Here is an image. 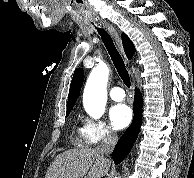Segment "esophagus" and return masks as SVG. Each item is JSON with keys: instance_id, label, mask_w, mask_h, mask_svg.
<instances>
[{"instance_id": "esophagus-1", "label": "esophagus", "mask_w": 194, "mask_h": 178, "mask_svg": "<svg viewBox=\"0 0 194 178\" xmlns=\"http://www.w3.org/2000/svg\"><path fill=\"white\" fill-rule=\"evenodd\" d=\"M103 26L108 29V31L110 32V34L114 37V39L116 40V43L120 49V51L122 52V54L124 55L123 52V47H122V42H121V38L119 33L117 32V30L114 28V26H112L111 24L107 23V22H103L102 23Z\"/></svg>"}]
</instances>
